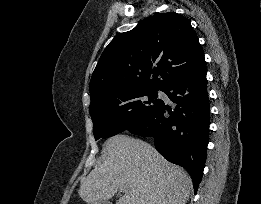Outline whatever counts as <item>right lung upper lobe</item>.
Segmentation results:
<instances>
[{
  "mask_svg": "<svg viewBox=\"0 0 261 204\" xmlns=\"http://www.w3.org/2000/svg\"><path fill=\"white\" fill-rule=\"evenodd\" d=\"M203 58L186 18L175 12L155 14L106 47L90 81V107L123 91L162 90Z\"/></svg>",
  "mask_w": 261,
  "mask_h": 204,
  "instance_id": "1",
  "label": "right lung upper lobe"
}]
</instances>
